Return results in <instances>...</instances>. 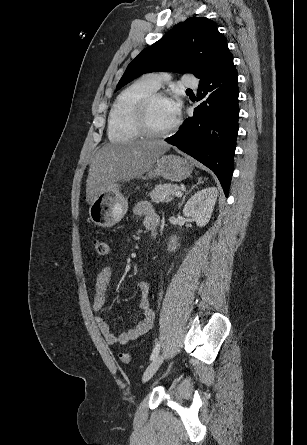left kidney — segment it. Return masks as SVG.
Returning a JSON list of instances; mask_svg holds the SVG:
<instances>
[{
	"label": "left kidney",
	"mask_w": 307,
	"mask_h": 445,
	"mask_svg": "<svg viewBox=\"0 0 307 445\" xmlns=\"http://www.w3.org/2000/svg\"><path fill=\"white\" fill-rule=\"evenodd\" d=\"M217 196L216 186H208V188L198 190L187 200L183 208L184 216H192L198 227H205L209 223Z\"/></svg>",
	"instance_id": "5707ae66"
}]
</instances>
